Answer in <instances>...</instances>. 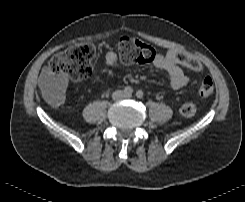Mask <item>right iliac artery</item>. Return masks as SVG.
I'll list each match as a JSON object with an SVG mask.
<instances>
[{"label":"right iliac artery","instance_id":"right-iliac-artery-1","mask_svg":"<svg viewBox=\"0 0 245 202\" xmlns=\"http://www.w3.org/2000/svg\"><path fill=\"white\" fill-rule=\"evenodd\" d=\"M124 92H125V94H127V95H131V94L133 93V89H132V87H130V86H126V87L124 88Z\"/></svg>","mask_w":245,"mask_h":202}]
</instances>
